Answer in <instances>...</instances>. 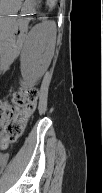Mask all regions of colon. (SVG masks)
Here are the masks:
<instances>
[{"label": "colon", "mask_w": 103, "mask_h": 193, "mask_svg": "<svg viewBox=\"0 0 103 193\" xmlns=\"http://www.w3.org/2000/svg\"><path fill=\"white\" fill-rule=\"evenodd\" d=\"M36 96L37 92L34 89L24 90L15 94L14 102L17 106L21 107L20 116L16 121L7 126L2 139L3 146L16 141L21 135L25 120L34 110V100ZM3 112L6 117H10L12 115V108L4 105Z\"/></svg>", "instance_id": "1"}]
</instances>
